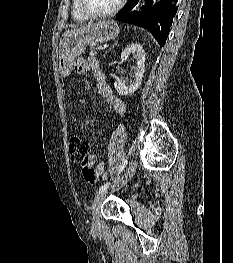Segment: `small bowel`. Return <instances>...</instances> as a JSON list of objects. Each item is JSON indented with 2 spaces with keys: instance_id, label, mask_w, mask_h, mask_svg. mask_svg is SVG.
Instances as JSON below:
<instances>
[{
  "instance_id": "1",
  "label": "small bowel",
  "mask_w": 233,
  "mask_h": 263,
  "mask_svg": "<svg viewBox=\"0 0 233 263\" xmlns=\"http://www.w3.org/2000/svg\"><path fill=\"white\" fill-rule=\"evenodd\" d=\"M74 70L78 74H85L92 70L94 77L97 80L98 92L102 95L108 107L114 111L120 118H123L126 114V106L122 99L118 97L110 87V85L105 80V75L98 66V62L95 58H79L74 64ZM97 162V156L95 154H90L87 159V164L89 167L93 166ZM104 170L103 163H99L95 170Z\"/></svg>"
}]
</instances>
